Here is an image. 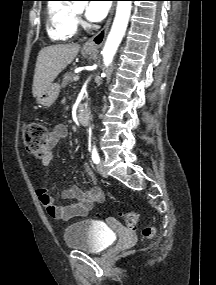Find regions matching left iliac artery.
Wrapping results in <instances>:
<instances>
[{
    "mask_svg": "<svg viewBox=\"0 0 216 285\" xmlns=\"http://www.w3.org/2000/svg\"><path fill=\"white\" fill-rule=\"evenodd\" d=\"M92 160L95 164H98L100 162V157L95 146L92 150Z\"/></svg>",
    "mask_w": 216,
    "mask_h": 285,
    "instance_id": "44dca946",
    "label": "left iliac artery"
}]
</instances>
